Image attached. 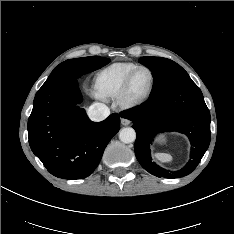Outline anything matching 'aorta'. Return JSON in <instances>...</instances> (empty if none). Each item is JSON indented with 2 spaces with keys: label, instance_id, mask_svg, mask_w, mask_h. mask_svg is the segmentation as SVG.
<instances>
[{
  "label": "aorta",
  "instance_id": "aorta-1",
  "mask_svg": "<svg viewBox=\"0 0 234 234\" xmlns=\"http://www.w3.org/2000/svg\"><path fill=\"white\" fill-rule=\"evenodd\" d=\"M119 139L123 143H132L136 139V132L132 127L122 128L119 132Z\"/></svg>",
  "mask_w": 234,
  "mask_h": 234
}]
</instances>
